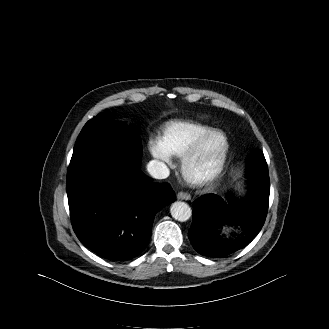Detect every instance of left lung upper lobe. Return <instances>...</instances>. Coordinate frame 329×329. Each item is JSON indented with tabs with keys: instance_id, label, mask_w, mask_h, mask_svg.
I'll list each match as a JSON object with an SVG mask.
<instances>
[{
	"instance_id": "obj_1",
	"label": "left lung upper lobe",
	"mask_w": 329,
	"mask_h": 329,
	"mask_svg": "<svg viewBox=\"0 0 329 329\" xmlns=\"http://www.w3.org/2000/svg\"><path fill=\"white\" fill-rule=\"evenodd\" d=\"M251 164H255V165L266 164V160L263 153L262 152L254 153L249 159V165Z\"/></svg>"
}]
</instances>
